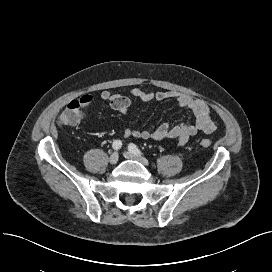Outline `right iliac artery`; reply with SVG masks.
I'll return each mask as SVG.
<instances>
[{
    "label": "right iliac artery",
    "mask_w": 272,
    "mask_h": 272,
    "mask_svg": "<svg viewBox=\"0 0 272 272\" xmlns=\"http://www.w3.org/2000/svg\"><path fill=\"white\" fill-rule=\"evenodd\" d=\"M112 147L114 150H119L122 147V142L120 140H115Z\"/></svg>",
    "instance_id": "82829eb1"
}]
</instances>
